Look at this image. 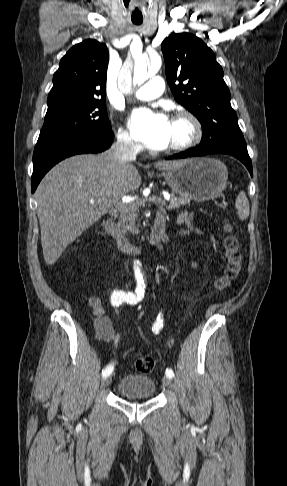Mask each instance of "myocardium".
Returning <instances> with one entry per match:
<instances>
[{"instance_id":"1","label":"myocardium","mask_w":287,"mask_h":486,"mask_svg":"<svg viewBox=\"0 0 287 486\" xmlns=\"http://www.w3.org/2000/svg\"><path fill=\"white\" fill-rule=\"evenodd\" d=\"M173 120L185 122L189 127V136L185 141L169 146L166 149L167 152H183L193 148L201 141L203 135L202 125L193 113L186 110L179 111L173 116Z\"/></svg>"}]
</instances>
